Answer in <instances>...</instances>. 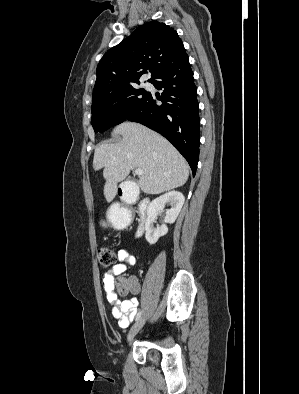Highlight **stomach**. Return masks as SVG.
<instances>
[{
    "mask_svg": "<svg viewBox=\"0 0 299 394\" xmlns=\"http://www.w3.org/2000/svg\"><path fill=\"white\" fill-rule=\"evenodd\" d=\"M102 225H103V226H105V225H106V223H105V222H102Z\"/></svg>",
    "mask_w": 299,
    "mask_h": 394,
    "instance_id": "0dacf381",
    "label": "stomach"
}]
</instances>
